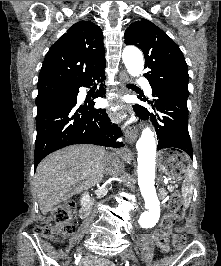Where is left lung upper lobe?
I'll return each instance as SVG.
<instances>
[{
    "label": "left lung upper lobe",
    "mask_w": 221,
    "mask_h": 266,
    "mask_svg": "<svg viewBox=\"0 0 221 266\" xmlns=\"http://www.w3.org/2000/svg\"><path fill=\"white\" fill-rule=\"evenodd\" d=\"M125 43L139 47L145 56L144 74L150 85L188 98V69L178 45L147 19L132 23L125 31Z\"/></svg>",
    "instance_id": "5c2ea615"
}]
</instances>
